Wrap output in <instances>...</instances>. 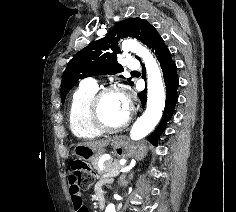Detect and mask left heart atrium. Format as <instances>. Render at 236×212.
<instances>
[{
	"label": "left heart atrium",
	"mask_w": 236,
	"mask_h": 212,
	"mask_svg": "<svg viewBox=\"0 0 236 212\" xmlns=\"http://www.w3.org/2000/svg\"><path fill=\"white\" fill-rule=\"evenodd\" d=\"M122 99H123V104L126 110H128L129 108V100L126 96L122 95Z\"/></svg>",
	"instance_id": "obj_1"
}]
</instances>
